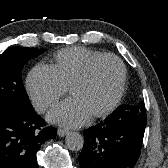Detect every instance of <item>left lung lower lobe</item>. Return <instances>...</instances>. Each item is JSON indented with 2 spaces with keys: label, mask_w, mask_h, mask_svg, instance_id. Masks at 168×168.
<instances>
[{
  "label": "left lung lower lobe",
  "mask_w": 168,
  "mask_h": 168,
  "mask_svg": "<svg viewBox=\"0 0 168 168\" xmlns=\"http://www.w3.org/2000/svg\"><path fill=\"white\" fill-rule=\"evenodd\" d=\"M145 105H122L105 121L84 131L81 168H134L145 127Z\"/></svg>",
  "instance_id": "1"
}]
</instances>
